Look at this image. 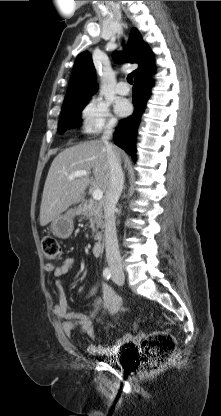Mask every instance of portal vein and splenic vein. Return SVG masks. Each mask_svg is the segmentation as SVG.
<instances>
[{"label":"portal vein and splenic vein","mask_w":221,"mask_h":416,"mask_svg":"<svg viewBox=\"0 0 221 416\" xmlns=\"http://www.w3.org/2000/svg\"><path fill=\"white\" fill-rule=\"evenodd\" d=\"M88 176H89V172H87L85 170H79V171H76V172L70 174L68 176V179L73 180V179L78 178V177H88ZM92 197H93L94 200L100 201L103 198L102 190L99 189V188H95L93 193H92Z\"/></svg>","instance_id":"18ae733b"}]
</instances>
